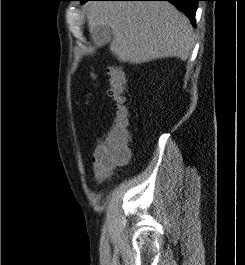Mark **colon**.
<instances>
[{
    "instance_id": "obj_1",
    "label": "colon",
    "mask_w": 245,
    "mask_h": 265,
    "mask_svg": "<svg viewBox=\"0 0 245 265\" xmlns=\"http://www.w3.org/2000/svg\"><path fill=\"white\" fill-rule=\"evenodd\" d=\"M109 95L115 101V118L110 130L96 146L93 154L95 166L101 170L112 171L126 163L130 157L129 112L125 106L126 78L119 66L107 69Z\"/></svg>"
}]
</instances>
